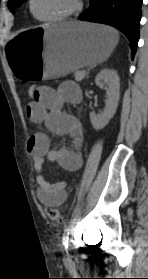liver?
Wrapping results in <instances>:
<instances>
[{"label": "liver", "mask_w": 148, "mask_h": 279, "mask_svg": "<svg viewBox=\"0 0 148 279\" xmlns=\"http://www.w3.org/2000/svg\"><path fill=\"white\" fill-rule=\"evenodd\" d=\"M72 23H74V24H76V25H82L83 23H81V22H72Z\"/></svg>", "instance_id": "obj_1"}]
</instances>
